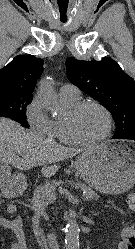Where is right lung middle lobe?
I'll return each instance as SVG.
<instances>
[{
	"mask_svg": "<svg viewBox=\"0 0 135 249\" xmlns=\"http://www.w3.org/2000/svg\"><path fill=\"white\" fill-rule=\"evenodd\" d=\"M31 100L30 95L0 93V116L9 117L28 128L25 112Z\"/></svg>",
	"mask_w": 135,
	"mask_h": 249,
	"instance_id": "dd1d6c3e",
	"label": "right lung middle lobe"
}]
</instances>
